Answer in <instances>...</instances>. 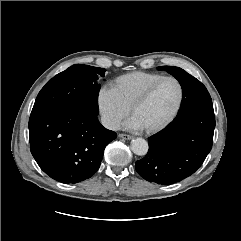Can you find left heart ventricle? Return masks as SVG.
Returning <instances> with one entry per match:
<instances>
[{"label":"left heart ventricle","mask_w":241,"mask_h":241,"mask_svg":"<svg viewBox=\"0 0 241 241\" xmlns=\"http://www.w3.org/2000/svg\"><path fill=\"white\" fill-rule=\"evenodd\" d=\"M179 89L175 82L165 81L153 92L151 97L139 106L133 116L144 128H149L164 121L175 108Z\"/></svg>","instance_id":"1"}]
</instances>
